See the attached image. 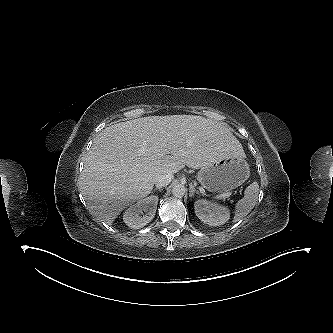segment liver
<instances>
[{
	"label": "liver",
	"instance_id": "obj_1",
	"mask_svg": "<svg viewBox=\"0 0 333 333\" xmlns=\"http://www.w3.org/2000/svg\"><path fill=\"white\" fill-rule=\"evenodd\" d=\"M245 157L235 136L201 116H148L106 127L93 141L81 175L91 213L112 224L129 204L148 196L159 174L200 169Z\"/></svg>",
	"mask_w": 333,
	"mask_h": 333
}]
</instances>
